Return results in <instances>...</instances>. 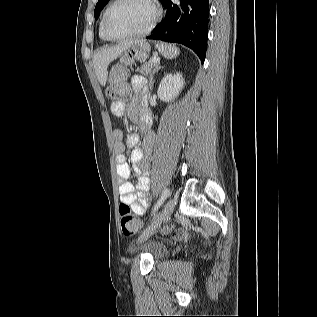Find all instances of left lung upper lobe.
Returning a JSON list of instances; mask_svg holds the SVG:
<instances>
[{
  "label": "left lung upper lobe",
  "mask_w": 317,
  "mask_h": 317,
  "mask_svg": "<svg viewBox=\"0 0 317 317\" xmlns=\"http://www.w3.org/2000/svg\"><path fill=\"white\" fill-rule=\"evenodd\" d=\"M109 0H98V3L96 4L94 14L95 19L98 18L100 11L104 8V6L108 3ZM161 3H163L164 0H160Z\"/></svg>",
  "instance_id": "left-lung-upper-lobe-1"
}]
</instances>
